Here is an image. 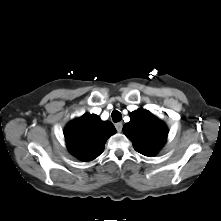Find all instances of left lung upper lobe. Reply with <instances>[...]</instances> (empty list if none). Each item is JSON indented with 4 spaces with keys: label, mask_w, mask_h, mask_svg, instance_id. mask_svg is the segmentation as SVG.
Listing matches in <instances>:
<instances>
[{
    "label": "left lung upper lobe",
    "mask_w": 221,
    "mask_h": 221,
    "mask_svg": "<svg viewBox=\"0 0 221 221\" xmlns=\"http://www.w3.org/2000/svg\"><path fill=\"white\" fill-rule=\"evenodd\" d=\"M130 118L123 131L131 139L134 149L145 156L155 155L167 139L165 124L145 109L132 112Z\"/></svg>",
    "instance_id": "obj_1"
}]
</instances>
